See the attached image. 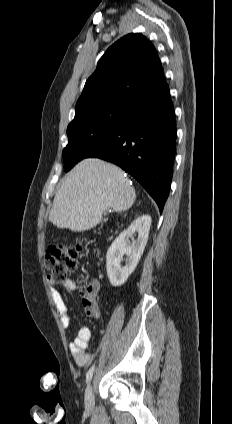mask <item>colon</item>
<instances>
[{
    "label": "colon",
    "mask_w": 232,
    "mask_h": 424,
    "mask_svg": "<svg viewBox=\"0 0 232 424\" xmlns=\"http://www.w3.org/2000/svg\"><path fill=\"white\" fill-rule=\"evenodd\" d=\"M82 244L65 247L62 245L49 247L44 256V265L48 272V281L52 284H61L65 282L68 276L76 269L78 258L82 252ZM82 282H86L85 278H81ZM90 284L86 286L85 293L87 295L90 290ZM84 308L88 314H95V306L89 297L84 299Z\"/></svg>",
    "instance_id": "colon-1"
}]
</instances>
